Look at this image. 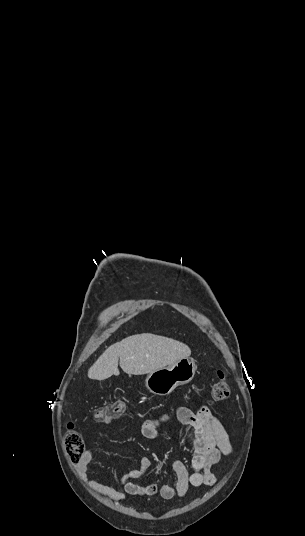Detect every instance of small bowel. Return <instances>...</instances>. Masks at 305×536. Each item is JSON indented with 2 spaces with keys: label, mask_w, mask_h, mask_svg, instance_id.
<instances>
[{
  "label": "small bowel",
  "mask_w": 305,
  "mask_h": 536,
  "mask_svg": "<svg viewBox=\"0 0 305 536\" xmlns=\"http://www.w3.org/2000/svg\"><path fill=\"white\" fill-rule=\"evenodd\" d=\"M172 418L186 427L187 440L193 454V473H189L183 462L174 460L170 466L176 474L175 485L143 484L140 480L150 469L152 461L149 457H142L138 466L123 476L121 483L124 491H120L87 477L94 454V449L91 448L82 453L78 464V472L88 489L112 501H121L126 496H154L156 494L163 499L165 495L183 498L190 486L198 488L214 485L216 477L212 472V467L219 462L221 457L229 455L232 450L229 435L222 422L206 405L200 406L195 411L179 407L173 413L146 420L141 427L142 435L147 439H157L161 425ZM105 425H108V422H105Z\"/></svg>",
  "instance_id": "obj_1"
}]
</instances>
